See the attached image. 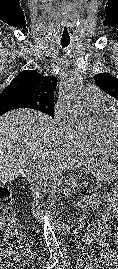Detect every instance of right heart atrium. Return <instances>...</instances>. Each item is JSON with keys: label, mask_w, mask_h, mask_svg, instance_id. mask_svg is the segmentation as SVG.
Segmentation results:
<instances>
[{"label": "right heart atrium", "mask_w": 118, "mask_h": 269, "mask_svg": "<svg viewBox=\"0 0 118 269\" xmlns=\"http://www.w3.org/2000/svg\"><path fill=\"white\" fill-rule=\"evenodd\" d=\"M55 120L60 126L64 140L71 146L81 148L89 141L91 135L83 131L69 116L56 111Z\"/></svg>", "instance_id": "right-heart-atrium-1"}]
</instances>
